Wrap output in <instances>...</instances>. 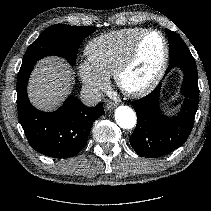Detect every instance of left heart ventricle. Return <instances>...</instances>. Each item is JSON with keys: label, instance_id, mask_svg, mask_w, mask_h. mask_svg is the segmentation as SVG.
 Returning a JSON list of instances; mask_svg holds the SVG:
<instances>
[{"label": "left heart ventricle", "instance_id": "1", "mask_svg": "<svg viewBox=\"0 0 211 211\" xmlns=\"http://www.w3.org/2000/svg\"><path fill=\"white\" fill-rule=\"evenodd\" d=\"M163 56L161 37L149 34L145 37L135 65L125 75L123 83L128 88H139L146 84L156 73Z\"/></svg>", "mask_w": 211, "mask_h": 211}]
</instances>
